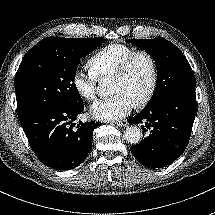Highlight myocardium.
Wrapping results in <instances>:
<instances>
[{"label": "myocardium", "instance_id": "1", "mask_svg": "<svg viewBox=\"0 0 215 215\" xmlns=\"http://www.w3.org/2000/svg\"><path fill=\"white\" fill-rule=\"evenodd\" d=\"M138 57H144L149 65H150V70H151V75H150V82L148 89L143 96V98L136 102L134 104V107L136 109H142L148 105V103L151 101L152 97L155 94L157 84H158V66L155 58L153 55L145 50H135L132 53H130L127 57H125L117 66L116 70L112 74V77L115 78H121L125 76L132 65L133 61L138 58Z\"/></svg>", "mask_w": 215, "mask_h": 215}]
</instances>
